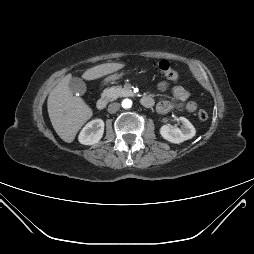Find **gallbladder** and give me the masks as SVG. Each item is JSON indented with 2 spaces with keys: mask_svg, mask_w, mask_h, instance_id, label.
<instances>
[{
  "mask_svg": "<svg viewBox=\"0 0 254 254\" xmlns=\"http://www.w3.org/2000/svg\"><path fill=\"white\" fill-rule=\"evenodd\" d=\"M69 88L73 94L83 95L86 92V84L77 77H72L69 81Z\"/></svg>",
  "mask_w": 254,
  "mask_h": 254,
  "instance_id": "1",
  "label": "gallbladder"
}]
</instances>
